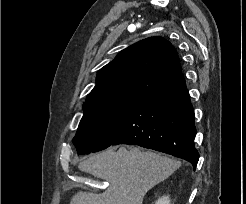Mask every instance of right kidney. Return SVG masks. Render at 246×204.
<instances>
[{
  "instance_id": "obj_1",
  "label": "right kidney",
  "mask_w": 246,
  "mask_h": 204,
  "mask_svg": "<svg viewBox=\"0 0 246 204\" xmlns=\"http://www.w3.org/2000/svg\"><path fill=\"white\" fill-rule=\"evenodd\" d=\"M155 204H170V198L168 196L160 197Z\"/></svg>"
}]
</instances>
